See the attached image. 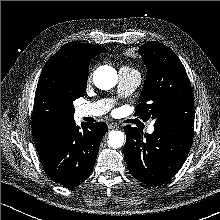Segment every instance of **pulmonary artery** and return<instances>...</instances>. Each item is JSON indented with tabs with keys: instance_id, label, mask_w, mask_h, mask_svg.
<instances>
[{
	"instance_id": "e3ab8cb5",
	"label": "pulmonary artery",
	"mask_w": 220,
	"mask_h": 220,
	"mask_svg": "<svg viewBox=\"0 0 220 220\" xmlns=\"http://www.w3.org/2000/svg\"><path fill=\"white\" fill-rule=\"evenodd\" d=\"M141 77L137 71L123 67L119 70L118 92L122 97L132 94L140 83ZM113 101L109 99L99 100L93 103L84 104L79 107V114L82 117H97L107 113L112 107ZM154 127L147 128L148 133H152Z\"/></svg>"
}]
</instances>
